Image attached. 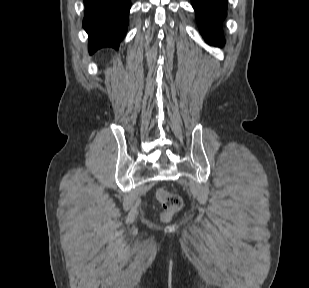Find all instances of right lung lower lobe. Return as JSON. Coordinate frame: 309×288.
I'll return each mask as SVG.
<instances>
[{
    "label": "right lung lower lobe",
    "mask_w": 309,
    "mask_h": 288,
    "mask_svg": "<svg viewBox=\"0 0 309 288\" xmlns=\"http://www.w3.org/2000/svg\"><path fill=\"white\" fill-rule=\"evenodd\" d=\"M84 4L90 54L103 47L118 49L127 30L130 0H84Z\"/></svg>",
    "instance_id": "1"
}]
</instances>
